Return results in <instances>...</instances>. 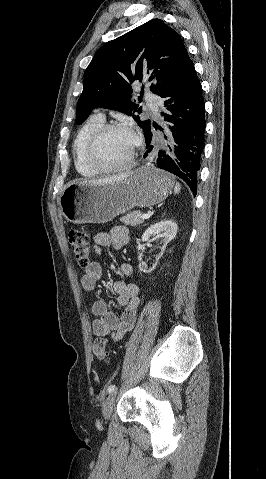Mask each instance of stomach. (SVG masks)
Segmentation results:
<instances>
[{"label":"stomach","instance_id":"obj_1","mask_svg":"<svg viewBox=\"0 0 266 479\" xmlns=\"http://www.w3.org/2000/svg\"><path fill=\"white\" fill-rule=\"evenodd\" d=\"M173 184L170 174L143 166L122 181L69 184L60 196V208L65 219L74 224L106 223L134 207L162 202Z\"/></svg>","mask_w":266,"mask_h":479}]
</instances>
